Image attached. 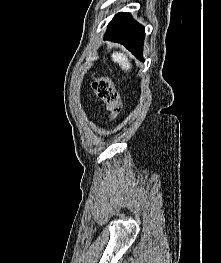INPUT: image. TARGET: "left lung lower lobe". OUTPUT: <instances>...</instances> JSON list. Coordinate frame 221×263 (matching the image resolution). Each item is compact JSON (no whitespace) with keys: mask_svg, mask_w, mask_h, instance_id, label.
I'll use <instances>...</instances> for the list:
<instances>
[{"mask_svg":"<svg viewBox=\"0 0 221 263\" xmlns=\"http://www.w3.org/2000/svg\"><path fill=\"white\" fill-rule=\"evenodd\" d=\"M145 30L129 13H118L107 27L105 38L123 44L136 57L142 59Z\"/></svg>","mask_w":221,"mask_h":263,"instance_id":"1","label":"left lung lower lobe"}]
</instances>
